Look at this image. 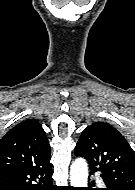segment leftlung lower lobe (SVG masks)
<instances>
[{
	"instance_id": "1",
	"label": "left lung lower lobe",
	"mask_w": 135,
	"mask_h": 190,
	"mask_svg": "<svg viewBox=\"0 0 135 190\" xmlns=\"http://www.w3.org/2000/svg\"><path fill=\"white\" fill-rule=\"evenodd\" d=\"M97 170L90 167V175L95 173ZM102 179L104 180V183L106 184V188L103 190H120L119 188H116L114 185L110 184L104 177L101 175Z\"/></svg>"
}]
</instances>
